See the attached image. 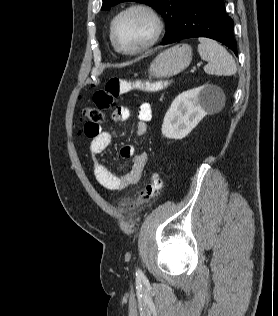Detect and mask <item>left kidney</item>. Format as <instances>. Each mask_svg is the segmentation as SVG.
<instances>
[{"label": "left kidney", "instance_id": "left-kidney-1", "mask_svg": "<svg viewBox=\"0 0 278 316\" xmlns=\"http://www.w3.org/2000/svg\"><path fill=\"white\" fill-rule=\"evenodd\" d=\"M222 95L219 87L208 84L179 94L164 117L162 134L176 140L186 137Z\"/></svg>", "mask_w": 278, "mask_h": 316}]
</instances>
